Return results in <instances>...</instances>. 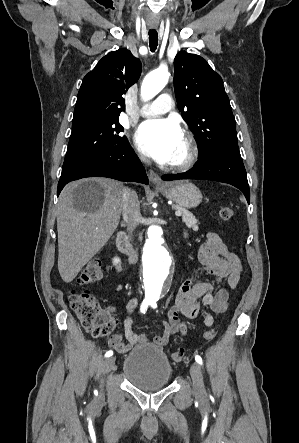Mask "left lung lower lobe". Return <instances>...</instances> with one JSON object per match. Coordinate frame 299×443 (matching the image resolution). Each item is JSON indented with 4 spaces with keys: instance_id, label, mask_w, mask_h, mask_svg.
Instances as JSON below:
<instances>
[{
    "instance_id": "left-lung-lower-lobe-1",
    "label": "left lung lower lobe",
    "mask_w": 299,
    "mask_h": 443,
    "mask_svg": "<svg viewBox=\"0 0 299 443\" xmlns=\"http://www.w3.org/2000/svg\"><path fill=\"white\" fill-rule=\"evenodd\" d=\"M165 181L178 179H205L229 183L240 189L250 203V189L241 156L229 153H213L198 160L185 173L163 175Z\"/></svg>"
}]
</instances>
